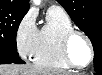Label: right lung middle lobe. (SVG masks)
<instances>
[{"instance_id":"obj_1","label":"right lung middle lobe","mask_w":102,"mask_h":75,"mask_svg":"<svg viewBox=\"0 0 102 75\" xmlns=\"http://www.w3.org/2000/svg\"><path fill=\"white\" fill-rule=\"evenodd\" d=\"M26 13L27 11L0 10V55H18L16 34L19 24Z\"/></svg>"}]
</instances>
